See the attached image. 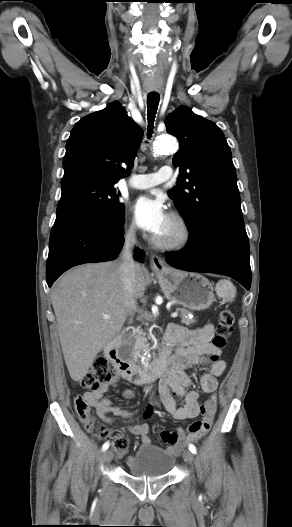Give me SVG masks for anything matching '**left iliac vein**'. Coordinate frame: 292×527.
Instances as JSON below:
<instances>
[{
	"label": "left iliac vein",
	"instance_id": "1",
	"mask_svg": "<svg viewBox=\"0 0 292 527\" xmlns=\"http://www.w3.org/2000/svg\"><path fill=\"white\" fill-rule=\"evenodd\" d=\"M182 456L187 463L191 464L193 462L194 457L190 450H184Z\"/></svg>",
	"mask_w": 292,
	"mask_h": 527
}]
</instances>
